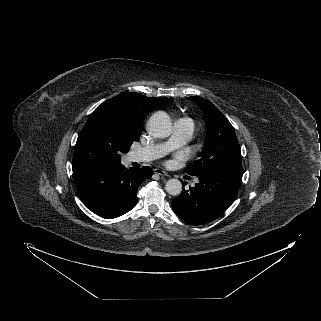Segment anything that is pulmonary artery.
Masks as SVG:
<instances>
[{"label":"pulmonary artery","mask_w":321,"mask_h":321,"mask_svg":"<svg viewBox=\"0 0 321 321\" xmlns=\"http://www.w3.org/2000/svg\"><path fill=\"white\" fill-rule=\"evenodd\" d=\"M194 132V123L189 118H180L175 122L174 132L171 138L164 143L149 145L130 153L131 161H151L166 155L171 150L188 142Z\"/></svg>","instance_id":"e3ab8cb5"}]
</instances>
